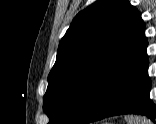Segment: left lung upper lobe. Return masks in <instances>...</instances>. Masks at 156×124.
<instances>
[{
  "label": "left lung upper lobe",
  "instance_id": "1",
  "mask_svg": "<svg viewBox=\"0 0 156 124\" xmlns=\"http://www.w3.org/2000/svg\"><path fill=\"white\" fill-rule=\"evenodd\" d=\"M127 0H98L79 12L59 43L43 110L48 124H78L114 67L144 37Z\"/></svg>",
  "mask_w": 156,
  "mask_h": 124
}]
</instances>
